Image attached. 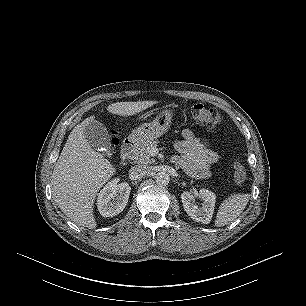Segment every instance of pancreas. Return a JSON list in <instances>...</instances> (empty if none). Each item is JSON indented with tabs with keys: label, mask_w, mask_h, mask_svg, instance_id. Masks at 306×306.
Segmentation results:
<instances>
[{
	"label": "pancreas",
	"mask_w": 306,
	"mask_h": 306,
	"mask_svg": "<svg viewBox=\"0 0 306 306\" xmlns=\"http://www.w3.org/2000/svg\"><path fill=\"white\" fill-rule=\"evenodd\" d=\"M158 141H153L148 144H144L141 147L137 148L132 155V160L136 163L141 164H152L155 160L152 158V149L156 148Z\"/></svg>",
	"instance_id": "obj_1"
}]
</instances>
